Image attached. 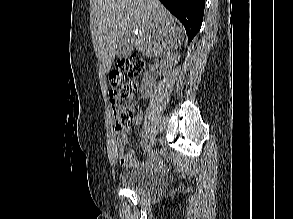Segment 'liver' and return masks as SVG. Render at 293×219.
I'll use <instances>...</instances> for the list:
<instances>
[{
  "instance_id": "liver-1",
  "label": "liver",
  "mask_w": 293,
  "mask_h": 219,
  "mask_svg": "<svg viewBox=\"0 0 293 219\" xmlns=\"http://www.w3.org/2000/svg\"><path fill=\"white\" fill-rule=\"evenodd\" d=\"M94 12L93 46L106 72L125 35L146 57L169 54L183 41L182 28L159 0H96Z\"/></svg>"
}]
</instances>
